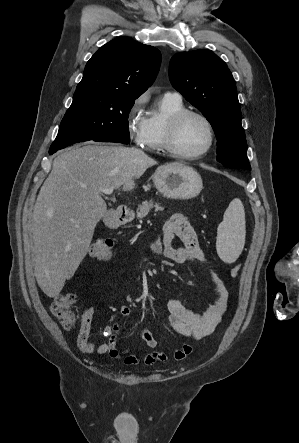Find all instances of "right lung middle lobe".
Listing matches in <instances>:
<instances>
[{"label": "right lung middle lobe", "mask_w": 299, "mask_h": 443, "mask_svg": "<svg viewBox=\"0 0 299 443\" xmlns=\"http://www.w3.org/2000/svg\"><path fill=\"white\" fill-rule=\"evenodd\" d=\"M135 99L99 91L75 92L50 149L98 138L130 142L129 112Z\"/></svg>", "instance_id": "dd1d6c3e"}]
</instances>
